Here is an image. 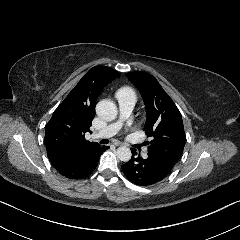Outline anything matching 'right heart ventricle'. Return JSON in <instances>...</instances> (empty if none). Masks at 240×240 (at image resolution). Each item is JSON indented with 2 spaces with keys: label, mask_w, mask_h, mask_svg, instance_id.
I'll return each mask as SVG.
<instances>
[{
  "label": "right heart ventricle",
  "mask_w": 240,
  "mask_h": 240,
  "mask_svg": "<svg viewBox=\"0 0 240 240\" xmlns=\"http://www.w3.org/2000/svg\"><path fill=\"white\" fill-rule=\"evenodd\" d=\"M117 98L121 103H134L136 100V95L132 89L126 87L117 92Z\"/></svg>",
  "instance_id": "obj_1"
}]
</instances>
